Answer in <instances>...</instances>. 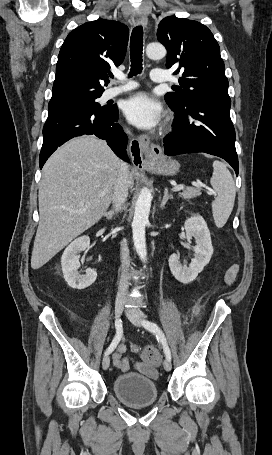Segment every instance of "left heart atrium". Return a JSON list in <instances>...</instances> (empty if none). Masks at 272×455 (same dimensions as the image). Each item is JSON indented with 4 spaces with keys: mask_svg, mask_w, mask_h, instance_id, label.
<instances>
[{
    "mask_svg": "<svg viewBox=\"0 0 272 455\" xmlns=\"http://www.w3.org/2000/svg\"><path fill=\"white\" fill-rule=\"evenodd\" d=\"M123 109L128 121L141 129L157 126L162 117L161 105L146 93L133 95Z\"/></svg>",
    "mask_w": 272,
    "mask_h": 455,
    "instance_id": "1",
    "label": "left heart atrium"
}]
</instances>
